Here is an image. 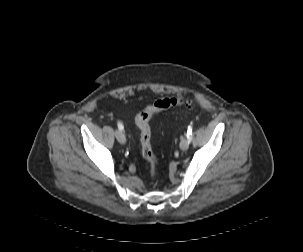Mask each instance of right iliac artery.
Wrapping results in <instances>:
<instances>
[{
    "mask_svg": "<svg viewBox=\"0 0 303 252\" xmlns=\"http://www.w3.org/2000/svg\"><path fill=\"white\" fill-rule=\"evenodd\" d=\"M118 128L120 131H122L124 129V126L121 122H118Z\"/></svg>",
    "mask_w": 303,
    "mask_h": 252,
    "instance_id": "82829eb1",
    "label": "right iliac artery"
}]
</instances>
